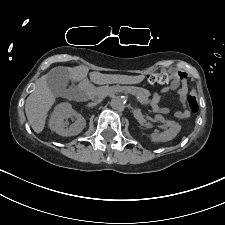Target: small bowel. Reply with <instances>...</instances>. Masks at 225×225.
<instances>
[{"instance_id":"c3829d8e","label":"small bowel","mask_w":225,"mask_h":225,"mask_svg":"<svg viewBox=\"0 0 225 225\" xmlns=\"http://www.w3.org/2000/svg\"><path fill=\"white\" fill-rule=\"evenodd\" d=\"M171 93H176L180 99V102L183 106L181 110H178L175 113L176 118L178 119H186L189 117V111L186 109L185 101L186 97L189 93V85L184 82L181 87H178L177 85L173 84L169 87L164 88L160 92L156 93L151 100V105L154 111L161 114H166L169 112L168 108L159 105V101L163 96L169 95Z\"/></svg>"}]
</instances>
